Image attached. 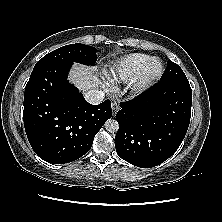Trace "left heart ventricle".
Segmentation results:
<instances>
[{
	"label": "left heart ventricle",
	"mask_w": 222,
	"mask_h": 222,
	"mask_svg": "<svg viewBox=\"0 0 222 222\" xmlns=\"http://www.w3.org/2000/svg\"><path fill=\"white\" fill-rule=\"evenodd\" d=\"M158 68V64H155L154 65V69L156 70Z\"/></svg>",
	"instance_id": "1"
}]
</instances>
